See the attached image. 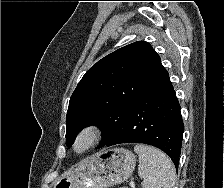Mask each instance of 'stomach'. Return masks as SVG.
I'll return each mask as SVG.
<instances>
[{"instance_id":"obj_1","label":"stomach","mask_w":224,"mask_h":188,"mask_svg":"<svg viewBox=\"0 0 224 188\" xmlns=\"http://www.w3.org/2000/svg\"><path fill=\"white\" fill-rule=\"evenodd\" d=\"M136 165L135 155L124 148L104 149L61 175L53 188H108L129 178Z\"/></svg>"}]
</instances>
